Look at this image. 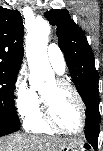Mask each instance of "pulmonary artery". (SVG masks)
Wrapping results in <instances>:
<instances>
[{
	"label": "pulmonary artery",
	"instance_id": "1",
	"mask_svg": "<svg viewBox=\"0 0 103 151\" xmlns=\"http://www.w3.org/2000/svg\"><path fill=\"white\" fill-rule=\"evenodd\" d=\"M47 55L49 62L51 63L55 71L59 74L64 73L66 69V63L64 55L59 46L54 43L50 44L48 46Z\"/></svg>",
	"mask_w": 103,
	"mask_h": 151
}]
</instances>
